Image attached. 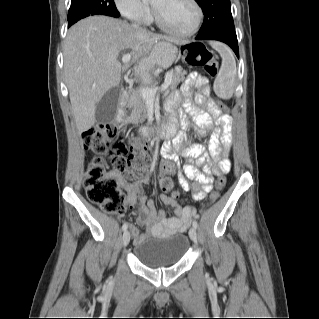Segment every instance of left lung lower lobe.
<instances>
[{"label": "left lung lower lobe", "instance_id": "0a47b994", "mask_svg": "<svg viewBox=\"0 0 319 319\" xmlns=\"http://www.w3.org/2000/svg\"><path fill=\"white\" fill-rule=\"evenodd\" d=\"M196 39L197 40H217V41L224 42L232 48V50L235 52V54L239 58V48H238L237 38L218 36V37H213V38H208V39H198L196 37Z\"/></svg>", "mask_w": 319, "mask_h": 319}]
</instances>
